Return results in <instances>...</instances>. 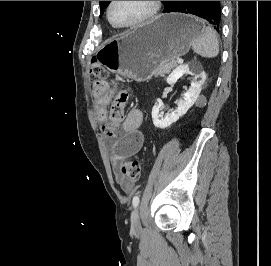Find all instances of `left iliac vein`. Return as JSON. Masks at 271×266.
Instances as JSON below:
<instances>
[{
    "mask_svg": "<svg viewBox=\"0 0 271 266\" xmlns=\"http://www.w3.org/2000/svg\"><path fill=\"white\" fill-rule=\"evenodd\" d=\"M131 228L133 231L138 232L141 229L139 209H135L131 216Z\"/></svg>",
    "mask_w": 271,
    "mask_h": 266,
    "instance_id": "obj_1",
    "label": "left iliac vein"
}]
</instances>
